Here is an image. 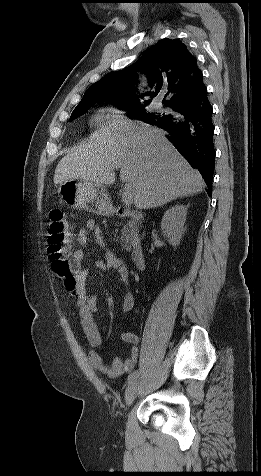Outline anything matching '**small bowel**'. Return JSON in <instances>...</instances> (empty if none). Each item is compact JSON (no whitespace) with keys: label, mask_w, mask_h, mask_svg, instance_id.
I'll return each instance as SVG.
<instances>
[{"label":"small bowel","mask_w":261,"mask_h":476,"mask_svg":"<svg viewBox=\"0 0 261 476\" xmlns=\"http://www.w3.org/2000/svg\"><path fill=\"white\" fill-rule=\"evenodd\" d=\"M93 234L95 242L105 250L103 259L96 261L95 266L99 270H115L119 274V278L126 288L122 300V309L129 311L134 304V298L130 289V273L127 265L123 260L109 250L103 239L102 231L99 225L93 219H87L84 226L77 233V242L81 249H77L71 256V261L77 271V285L74 290H68L77 299L78 313L82 329L86 338L92 347L88 358L90 364L99 372L110 378H116L123 374L131 372L139 358L138 336L131 331L122 334V340L130 345V350L125 359L114 358L110 364L105 363L101 354L96 350L103 344L102 330L95 321V314L98 310L99 297L97 295H88L86 293V279L88 269L81 268V264L85 258V249L89 245V235Z\"/></svg>","instance_id":"c3829d8e"}]
</instances>
